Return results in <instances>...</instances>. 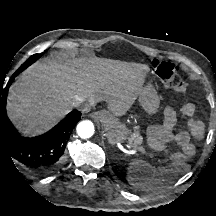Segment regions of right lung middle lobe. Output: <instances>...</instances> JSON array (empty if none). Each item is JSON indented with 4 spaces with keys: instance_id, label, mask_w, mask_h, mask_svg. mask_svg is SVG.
Instances as JSON below:
<instances>
[{
    "instance_id": "1",
    "label": "right lung middle lobe",
    "mask_w": 216,
    "mask_h": 216,
    "mask_svg": "<svg viewBox=\"0 0 216 216\" xmlns=\"http://www.w3.org/2000/svg\"><path fill=\"white\" fill-rule=\"evenodd\" d=\"M42 55V53L41 54H34V55H32L31 57H29L27 60H26V62L25 63H23L22 65H21V67L15 72L16 74H18L19 72H22L24 69H26L28 66H30L37 58H38V56H41Z\"/></svg>"
}]
</instances>
